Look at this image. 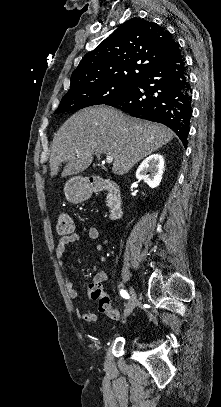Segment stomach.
Here are the masks:
<instances>
[{"instance_id": "1", "label": "stomach", "mask_w": 221, "mask_h": 407, "mask_svg": "<svg viewBox=\"0 0 221 407\" xmlns=\"http://www.w3.org/2000/svg\"><path fill=\"white\" fill-rule=\"evenodd\" d=\"M66 199L72 204L81 203L91 196V189L84 177H73L64 186Z\"/></svg>"}]
</instances>
